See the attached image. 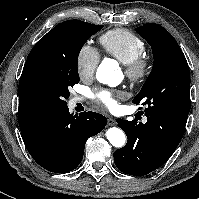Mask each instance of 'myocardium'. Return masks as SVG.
Here are the masks:
<instances>
[{
    "mask_svg": "<svg viewBox=\"0 0 199 199\" xmlns=\"http://www.w3.org/2000/svg\"><path fill=\"white\" fill-rule=\"evenodd\" d=\"M126 76L133 83H142L150 73V63L143 55L123 64Z\"/></svg>",
    "mask_w": 199,
    "mask_h": 199,
    "instance_id": "1",
    "label": "myocardium"
}]
</instances>
